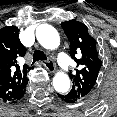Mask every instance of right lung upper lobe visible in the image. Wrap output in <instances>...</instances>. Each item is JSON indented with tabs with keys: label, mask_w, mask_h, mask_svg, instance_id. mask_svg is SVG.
I'll use <instances>...</instances> for the list:
<instances>
[{
	"label": "right lung upper lobe",
	"mask_w": 117,
	"mask_h": 117,
	"mask_svg": "<svg viewBox=\"0 0 117 117\" xmlns=\"http://www.w3.org/2000/svg\"><path fill=\"white\" fill-rule=\"evenodd\" d=\"M25 54L18 28L6 26L0 29V99L4 102L14 100L28 83L26 75L30 68L26 64L18 65Z\"/></svg>",
	"instance_id": "right-lung-upper-lobe-1"
}]
</instances>
